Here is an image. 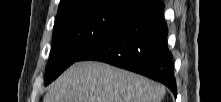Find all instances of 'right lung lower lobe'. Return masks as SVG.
Instances as JSON below:
<instances>
[{
  "label": "right lung lower lobe",
  "mask_w": 221,
  "mask_h": 102,
  "mask_svg": "<svg viewBox=\"0 0 221 102\" xmlns=\"http://www.w3.org/2000/svg\"><path fill=\"white\" fill-rule=\"evenodd\" d=\"M163 8L156 0L97 42L78 61H103L142 74L166 85L176 97Z\"/></svg>",
  "instance_id": "98d812e1"
}]
</instances>
